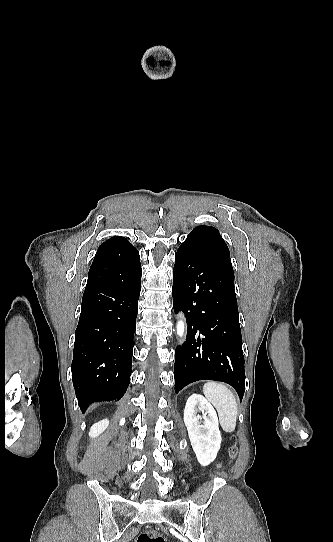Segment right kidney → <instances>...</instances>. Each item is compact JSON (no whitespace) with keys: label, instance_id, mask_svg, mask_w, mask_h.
Wrapping results in <instances>:
<instances>
[{"label":"right kidney","instance_id":"ca27d5eb","mask_svg":"<svg viewBox=\"0 0 333 542\" xmlns=\"http://www.w3.org/2000/svg\"><path fill=\"white\" fill-rule=\"evenodd\" d=\"M109 422L108 420H101V422H97V424H93L90 428L89 436L90 438H97L99 434H102L106 428H108Z\"/></svg>","mask_w":333,"mask_h":542}]
</instances>
